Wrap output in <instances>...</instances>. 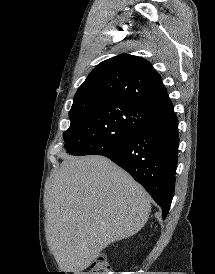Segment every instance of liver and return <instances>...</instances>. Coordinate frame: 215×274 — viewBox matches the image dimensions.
I'll use <instances>...</instances> for the list:
<instances>
[{
    "instance_id": "obj_1",
    "label": "liver",
    "mask_w": 215,
    "mask_h": 274,
    "mask_svg": "<svg viewBox=\"0 0 215 274\" xmlns=\"http://www.w3.org/2000/svg\"><path fill=\"white\" fill-rule=\"evenodd\" d=\"M147 192L103 156H65L48 206V242L61 270L79 274L109 244L126 239L148 220Z\"/></svg>"
}]
</instances>
